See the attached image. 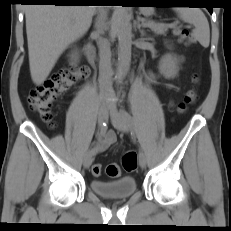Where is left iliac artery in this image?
Returning <instances> with one entry per match:
<instances>
[{"label":"left iliac artery","instance_id":"44dca946","mask_svg":"<svg viewBox=\"0 0 231 231\" xmlns=\"http://www.w3.org/2000/svg\"><path fill=\"white\" fill-rule=\"evenodd\" d=\"M122 115L124 116L129 125H134L132 117L126 111L122 110Z\"/></svg>","mask_w":231,"mask_h":231}]
</instances>
